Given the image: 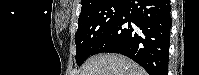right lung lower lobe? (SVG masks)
<instances>
[{
    "label": "right lung lower lobe",
    "mask_w": 199,
    "mask_h": 75,
    "mask_svg": "<svg viewBox=\"0 0 199 75\" xmlns=\"http://www.w3.org/2000/svg\"><path fill=\"white\" fill-rule=\"evenodd\" d=\"M171 7L169 0H127L123 13L94 54L125 55L149 75H167Z\"/></svg>",
    "instance_id": "right-lung-lower-lobe-1"
}]
</instances>
